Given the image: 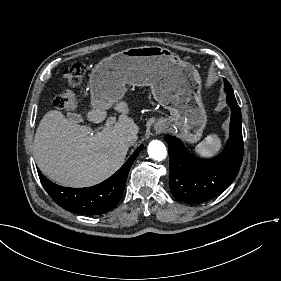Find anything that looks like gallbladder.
<instances>
[{
    "mask_svg": "<svg viewBox=\"0 0 281 281\" xmlns=\"http://www.w3.org/2000/svg\"><path fill=\"white\" fill-rule=\"evenodd\" d=\"M68 116L72 121H75V122L79 121L77 118H81V116L78 114H68Z\"/></svg>",
    "mask_w": 281,
    "mask_h": 281,
    "instance_id": "1",
    "label": "gallbladder"
}]
</instances>
